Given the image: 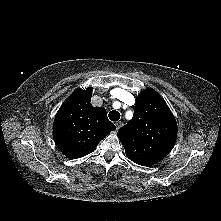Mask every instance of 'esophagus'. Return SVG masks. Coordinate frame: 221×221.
<instances>
[{
	"instance_id": "34e87169",
	"label": "esophagus",
	"mask_w": 221,
	"mask_h": 221,
	"mask_svg": "<svg viewBox=\"0 0 221 221\" xmlns=\"http://www.w3.org/2000/svg\"><path fill=\"white\" fill-rule=\"evenodd\" d=\"M115 125H116V129L119 130L122 127L123 122L122 121H118Z\"/></svg>"
}]
</instances>
